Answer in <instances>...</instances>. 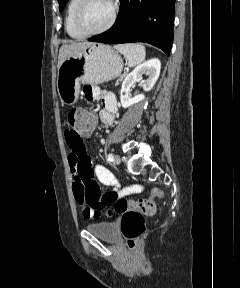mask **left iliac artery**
Returning <instances> with one entry per match:
<instances>
[{
	"label": "left iliac artery",
	"mask_w": 240,
	"mask_h": 288,
	"mask_svg": "<svg viewBox=\"0 0 240 288\" xmlns=\"http://www.w3.org/2000/svg\"><path fill=\"white\" fill-rule=\"evenodd\" d=\"M107 159H108V161H113L114 160V155L112 153H109L107 155Z\"/></svg>",
	"instance_id": "obj_1"
}]
</instances>
